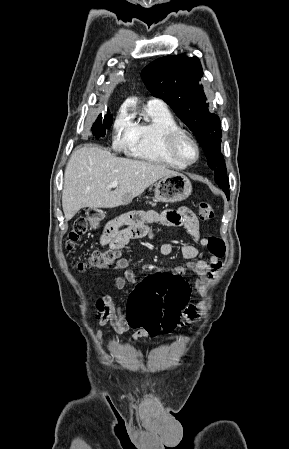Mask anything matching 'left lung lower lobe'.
<instances>
[{"label": "left lung lower lobe", "mask_w": 289, "mask_h": 449, "mask_svg": "<svg viewBox=\"0 0 289 449\" xmlns=\"http://www.w3.org/2000/svg\"><path fill=\"white\" fill-rule=\"evenodd\" d=\"M225 193H226V197L229 199L230 192H229V191H226Z\"/></svg>", "instance_id": "obj_1"}]
</instances>
